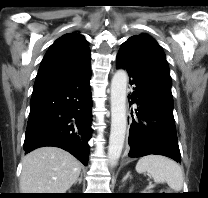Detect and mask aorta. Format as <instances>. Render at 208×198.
I'll return each instance as SVG.
<instances>
[{
    "label": "aorta",
    "instance_id": "1",
    "mask_svg": "<svg viewBox=\"0 0 208 198\" xmlns=\"http://www.w3.org/2000/svg\"><path fill=\"white\" fill-rule=\"evenodd\" d=\"M128 75L118 70L111 81V130L108 146V160L115 165L119 160L126 134V98Z\"/></svg>",
    "mask_w": 208,
    "mask_h": 198
}]
</instances>
